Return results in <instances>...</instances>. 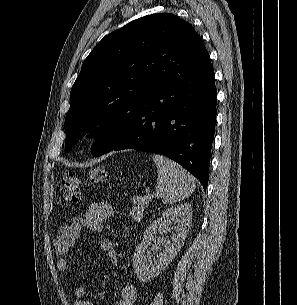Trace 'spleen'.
<instances>
[{
	"label": "spleen",
	"mask_w": 297,
	"mask_h": 305,
	"mask_svg": "<svg viewBox=\"0 0 297 305\" xmlns=\"http://www.w3.org/2000/svg\"><path fill=\"white\" fill-rule=\"evenodd\" d=\"M157 166L156 192L163 204H172L188 198L195 190L194 178L174 161L158 155H153Z\"/></svg>",
	"instance_id": "1"
}]
</instances>
